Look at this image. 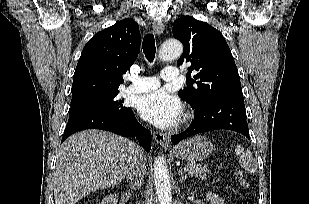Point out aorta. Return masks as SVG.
I'll use <instances>...</instances> for the list:
<instances>
[{
  "label": "aorta",
  "instance_id": "aorta-1",
  "mask_svg": "<svg viewBox=\"0 0 309 204\" xmlns=\"http://www.w3.org/2000/svg\"><path fill=\"white\" fill-rule=\"evenodd\" d=\"M183 53V45L177 40L165 41L159 51V59L169 61L176 59ZM154 184L160 204H171V184L166 161L163 155L154 162Z\"/></svg>",
  "mask_w": 309,
  "mask_h": 204
}]
</instances>
